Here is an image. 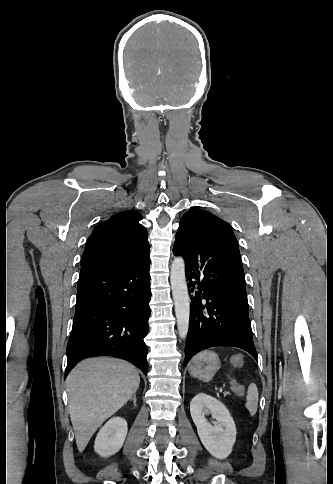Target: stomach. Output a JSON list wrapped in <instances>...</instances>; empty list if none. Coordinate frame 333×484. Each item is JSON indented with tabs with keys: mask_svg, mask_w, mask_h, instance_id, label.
Segmentation results:
<instances>
[{
	"mask_svg": "<svg viewBox=\"0 0 333 484\" xmlns=\"http://www.w3.org/2000/svg\"><path fill=\"white\" fill-rule=\"evenodd\" d=\"M188 369L191 376L208 382L220 369V360L215 352L206 350L191 360Z\"/></svg>",
	"mask_w": 333,
	"mask_h": 484,
	"instance_id": "1",
	"label": "stomach"
}]
</instances>
